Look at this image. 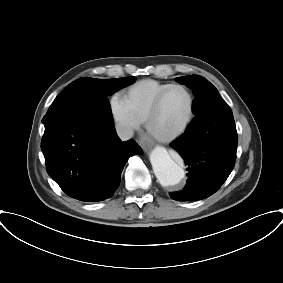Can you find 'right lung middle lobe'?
Here are the masks:
<instances>
[{
  "mask_svg": "<svg viewBox=\"0 0 283 283\" xmlns=\"http://www.w3.org/2000/svg\"><path fill=\"white\" fill-rule=\"evenodd\" d=\"M135 77L93 79L83 77L73 81L57 95L42 119L44 126L61 120L104 119L113 122L107 96L132 84Z\"/></svg>",
  "mask_w": 283,
  "mask_h": 283,
  "instance_id": "1",
  "label": "right lung middle lobe"
}]
</instances>
